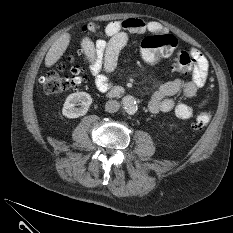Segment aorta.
Listing matches in <instances>:
<instances>
[{
	"label": "aorta",
	"mask_w": 233,
	"mask_h": 233,
	"mask_svg": "<svg viewBox=\"0 0 233 233\" xmlns=\"http://www.w3.org/2000/svg\"><path fill=\"white\" fill-rule=\"evenodd\" d=\"M121 104L124 110L128 114L132 115L136 113L137 111L136 99L133 96L131 95L124 96L122 98Z\"/></svg>",
	"instance_id": "762f6f07"
}]
</instances>
